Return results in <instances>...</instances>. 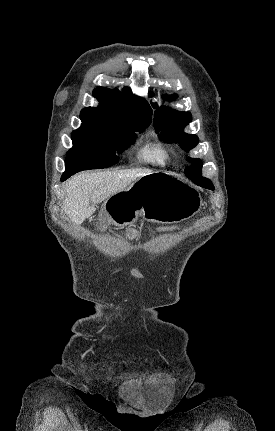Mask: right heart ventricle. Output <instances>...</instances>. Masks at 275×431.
Here are the masks:
<instances>
[{"label":"right heart ventricle","mask_w":275,"mask_h":431,"mask_svg":"<svg viewBox=\"0 0 275 431\" xmlns=\"http://www.w3.org/2000/svg\"><path fill=\"white\" fill-rule=\"evenodd\" d=\"M144 159L148 162L165 165L168 158V150L163 146H156L144 153Z\"/></svg>","instance_id":"1"}]
</instances>
